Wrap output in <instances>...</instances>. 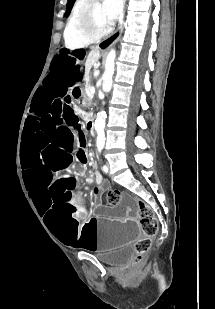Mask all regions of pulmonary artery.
<instances>
[{"label":"pulmonary artery","mask_w":215,"mask_h":309,"mask_svg":"<svg viewBox=\"0 0 215 309\" xmlns=\"http://www.w3.org/2000/svg\"><path fill=\"white\" fill-rule=\"evenodd\" d=\"M77 7L78 8H83L84 7V2L83 1H78L77 2Z\"/></svg>","instance_id":"e3ab8cb5"}]
</instances>
